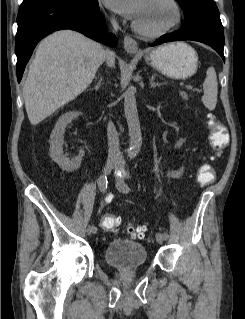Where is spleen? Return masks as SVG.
<instances>
[{
    "instance_id": "spleen-1",
    "label": "spleen",
    "mask_w": 245,
    "mask_h": 319,
    "mask_svg": "<svg viewBox=\"0 0 245 319\" xmlns=\"http://www.w3.org/2000/svg\"><path fill=\"white\" fill-rule=\"evenodd\" d=\"M217 87V75L215 69L209 67L206 71V78L203 83L204 95L202 97L204 106L209 110H213L216 107L218 94Z\"/></svg>"
}]
</instances>
